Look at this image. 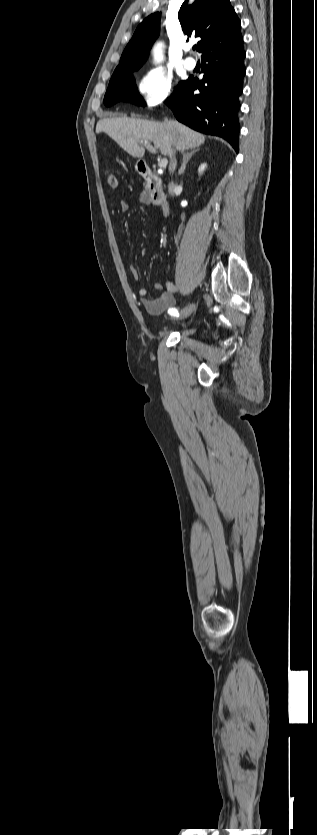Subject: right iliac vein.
I'll return each instance as SVG.
<instances>
[{
	"label": "right iliac vein",
	"instance_id": "1",
	"mask_svg": "<svg viewBox=\"0 0 317 835\" xmlns=\"http://www.w3.org/2000/svg\"><path fill=\"white\" fill-rule=\"evenodd\" d=\"M194 310H195V305L194 304L186 306L185 308H183L180 311L179 316H178L177 319H183V318H186V317L190 316Z\"/></svg>",
	"mask_w": 317,
	"mask_h": 835
}]
</instances>
